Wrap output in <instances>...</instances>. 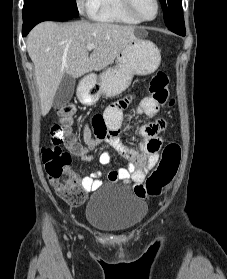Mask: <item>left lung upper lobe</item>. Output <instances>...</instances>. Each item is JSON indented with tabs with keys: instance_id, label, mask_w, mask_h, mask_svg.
<instances>
[{
	"instance_id": "1",
	"label": "left lung upper lobe",
	"mask_w": 227,
	"mask_h": 279,
	"mask_svg": "<svg viewBox=\"0 0 227 279\" xmlns=\"http://www.w3.org/2000/svg\"><path fill=\"white\" fill-rule=\"evenodd\" d=\"M165 24L168 28L185 29L181 0H160Z\"/></svg>"
}]
</instances>
